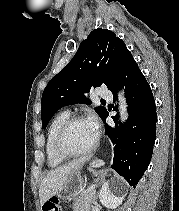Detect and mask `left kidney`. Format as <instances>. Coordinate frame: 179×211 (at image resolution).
<instances>
[{
	"label": "left kidney",
	"instance_id": "obj_1",
	"mask_svg": "<svg viewBox=\"0 0 179 211\" xmlns=\"http://www.w3.org/2000/svg\"><path fill=\"white\" fill-rule=\"evenodd\" d=\"M125 188L115 182H105L100 190L99 199L102 205L115 209L125 197Z\"/></svg>",
	"mask_w": 179,
	"mask_h": 211
}]
</instances>
